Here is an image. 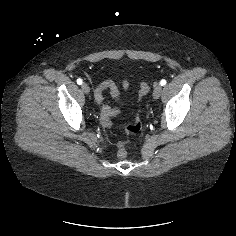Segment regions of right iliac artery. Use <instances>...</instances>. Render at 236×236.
Segmentation results:
<instances>
[{
  "mask_svg": "<svg viewBox=\"0 0 236 236\" xmlns=\"http://www.w3.org/2000/svg\"><path fill=\"white\" fill-rule=\"evenodd\" d=\"M82 82H83V81H82V79H80V78H79V79H77V84L81 85V84H82Z\"/></svg>",
  "mask_w": 236,
  "mask_h": 236,
  "instance_id": "right-iliac-artery-1",
  "label": "right iliac artery"
}]
</instances>
